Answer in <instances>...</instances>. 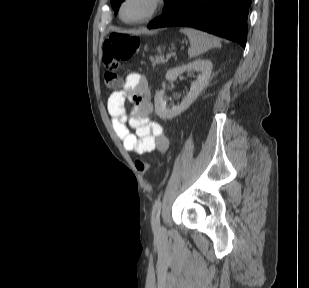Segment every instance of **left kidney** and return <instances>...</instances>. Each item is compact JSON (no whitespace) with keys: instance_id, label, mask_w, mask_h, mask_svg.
<instances>
[{"instance_id":"left-kidney-1","label":"left kidney","mask_w":309,"mask_h":288,"mask_svg":"<svg viewBox=\"0 0 309 288\" xmlns=\"http://www.w3.org/2000/svg\"><path fill=\"white\" fill-rule=\"evenodd\" d=\"M212 68L213 65L210 60L197 59L193 62H189L186 65L169 69L165 76L167 81H172L178 75L192 69L199 70L201 73L198 76L197 80L192 82L189 93L182 100L181 104L178 106H174L171 109H168L164 101V93H165L164 90L161 89L159 92H157L154 98L155 111L157 115L162 119H171L173 117H176L183 111H185L187 108H189V106L197 99L199 94L207 85L211 75ZM162 87L163 88L165 87V82L162 83Z\"/></svg>"}]
</instances>
